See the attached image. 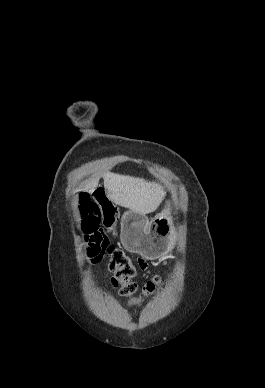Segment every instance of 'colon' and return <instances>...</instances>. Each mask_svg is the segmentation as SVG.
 I'll return each mask as SVG.
<instances>
[{"instance_id":"5ec220e1","label":"colon","mask_w":265,"mask_h":388,"mask_svg":"<svg viewBox=\"0 0 265 388\" xmlns=\"http://www.w3.org/2000/svg\"><path fill=\"white\" fill-rule=\"evenodd\" d=\"M78 203L85 234L86 255L90 262L97 263L106 257L109 270L113 273L112 285L119 288L121 295L130 298L132 304L138 305L144 298L153 295L160 285V278L155 277L148 281L141 295L135 296L136 266L128 255L109 242L108 235L116 230V208L104 190L99 188L92 193L83 192Z\"/></svg>"}]
</instances>
